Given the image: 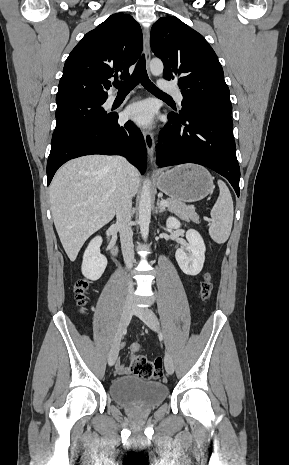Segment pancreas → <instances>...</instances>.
<instances>
[{
  "label": "pancreas",
  "mask_w": 289,
  "mask_h": 465,
  "mask_svg": "<svg viewBox=\"0 0 289 465\" xmlns=\"http://www.w3.org/2000/svg\"><path fill=\"white\" fill-rule=\"evenodd\" d=\"M167 201L169 203L167 205L168 210L172 213H175L182 220H185L187 222H199V216L197 215L193 207L187 206L184 203L171 198L167 199Z\"/></svg>",
  "instance_id": "1"
}]
</instances>
